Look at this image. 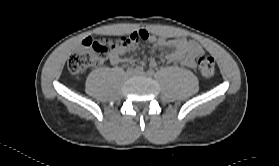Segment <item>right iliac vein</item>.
Returning <instances> with one entry per match:
<instances>
[{
  "instance_id": "obj_1",
  "label": "right iliac vein",
  "mask_w": 279,
  "mask_h": 166,
  "mask_svg": "<svg viewBox=\"0 0 279 166\" xmlns=\"http://www.w3.org/2000/svg\"><path fill=\"white\" fill-rule=\"evenodd\" d=\"M137 71L136 70H129L128 71V75H133V74H135Z\"/></svg>"
}]
</instances>
